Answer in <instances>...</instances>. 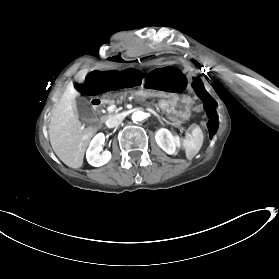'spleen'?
Instances as JSON below:
<instances>
[{
    "instance_id": "obj_1",
    "label": "spleen",
    "mask_w": 279,
    "mask_h": 279,
    "mask_svg": "<svg viewBox=\"0 0 279 279\" xmlns=\"http://www.w3.org/2000/svg\"><path fill=\"white\" fill-rule=\"evenodd\" d=\"M201 142V131L198 127H195L190 137L182 141V146L185 150V156L187 159H192L198 153L201 147Z\"/></svg>"
}]
</instances>
